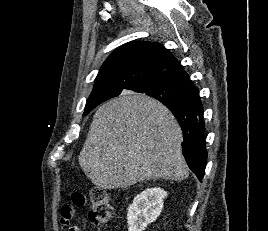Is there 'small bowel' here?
I'll return each instance as SVG.
<instances>
[{
    "instance_id": "obj_1",
    "label": "small bowel",
    "mask_w": 268,
    "mask_h": 231,
    "mask_svg": "<svg viewBox=\"0 0 268 231\" xmlns=\"http://www.w3.org/2000/svg\"><path fill=\"white\" fill-rule=\"evenodd\" d=\"M75 204L81 206L80 199H76ZM75 216V210L70 204H63L60 210V224L66 226L68 231H82V229L73 222Z\"/></svg>"
}]
</instances>
